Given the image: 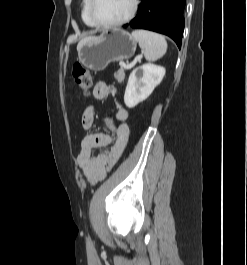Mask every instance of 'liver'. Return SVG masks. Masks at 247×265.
Wrapping results in <instances>:
<instances>
[{
	"label": "liver",
	"instance_id": "obj_1",
	"mask_svg": "<svg viewBox=\"0 0 247 265\" xmlns=\"http://www.w3.org/2000/svg\"><path fill=\"white\" fill-rule=\"evenodd\" d=\"M88 38H90V37H86V38L82 39V40L79 42L78 46H79L83 41H85V40L88 39ZM78 46H77V47H78Z\"/></svg>",
	"mask_w": 247,
	"mask_h": 265
}]
</instances>
